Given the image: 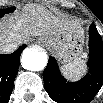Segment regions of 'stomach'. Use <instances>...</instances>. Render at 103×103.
I'll return each mask as SVG.
<instances>
[{
	"label": "stomach",
	"mask_w": 103,
	"mask_h": 103,
	"mask_svg": "<svg viewBox=\"0 0 103 103\" xmlns=\"http://www.w3.org/2000/svg\"><path fill=\"white\" fill-rule=\"evenodd\" d=\"M84 31L76 29L55 37H44L42 42L48 46L63 64L80 59L83 54Z\"/></svg>",
	"instance_id": "0dacf381"
}]
</instances>
